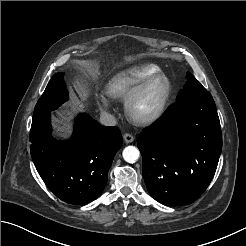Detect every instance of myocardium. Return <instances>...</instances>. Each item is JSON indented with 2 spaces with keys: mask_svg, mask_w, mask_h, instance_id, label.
Here are the masks:
<instances>
[{
  "mask_svg": "<svg viewBox=\"0 0 246 246\" xmlns=\"http://www.w3.org/2000/svg\"><path fill=\"white\" fill-rule=\"evenodd\" d=\"M163 80L166 84L165 91L154 109L148 112H141L138 104L147 89L156 81ZM172 92L170 79L163 73L154 74L138 84L125 100V110L128 117L139 125H148L158 120L164 113Z\"/></svg>",
  "mask_w": 246,
  "mask_h": 246,
  "instance_id": "1",
  "label": "myocardium"
}]
</instances>
